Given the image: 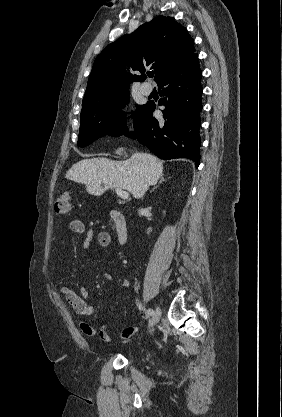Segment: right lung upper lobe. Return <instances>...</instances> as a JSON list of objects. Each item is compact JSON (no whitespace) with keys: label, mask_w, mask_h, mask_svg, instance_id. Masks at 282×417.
Listing matches in <instances>:
<instances>
[{"label":"right lung upper lobe","mask_w":282,"mask_h":417,"mask_svg":"<svg viewBox=\"0 0 282 417\" xmlns=\"http://www.w3.org/2000/svg\"><path fill=\"white\" fill-rule=\"evenodd\" d=\"M197 59L194 41L174 18L159 16L109 44L95 59L84 98L128 91L130 83L142 81L146 67L155 70V82Z\"/></svg>","instance_id":"obj_1"}]
</instances>
